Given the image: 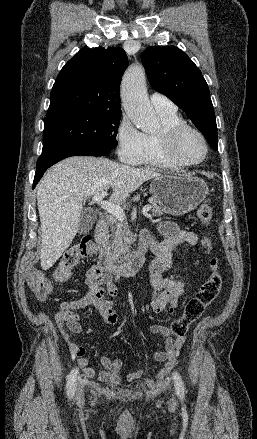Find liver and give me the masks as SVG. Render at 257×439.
Wrapping results in <instances>:
<instances>
[{
    "label": "liver",
    "mask_w": 257,
    "mask_h": 439,
    "mask_svg": "<svg viewBox=\"0 0 257 439\" xmlns=\"http://www.w3.org/2000/svg\"><path fill=\"white\" fill-rule=\"evenodd\" d=\"M161 176L149 168H134L107 158L75 156L47 171L37 186L41 222V267L51 268L79 230L82 201L110 187V201L120 203L144 182Z\"/></svg>",
    "instance_id": "liver-1"
}]
</instances>
